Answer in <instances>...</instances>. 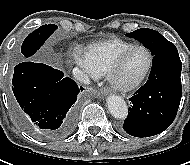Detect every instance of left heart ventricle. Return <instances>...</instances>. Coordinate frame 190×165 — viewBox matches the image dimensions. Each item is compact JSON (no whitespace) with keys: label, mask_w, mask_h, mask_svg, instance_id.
<instances>
[{"label":"left heart ventricle","mask_w":190,"mask_h":165,"mask_svg":"<svg viewBox=\"0 0 190 165\" xmlns=\"http://www.w3.org/2000/svg\"><path fill=\"white\" fill-rule=\"evenodd\" d=\"M149 62L148 54L143 49H136L125 58L118 73V80L122 83H131L137 80L146 70Z\"/></svg>","instance_id":"b2bd125f"}]
</instances>
